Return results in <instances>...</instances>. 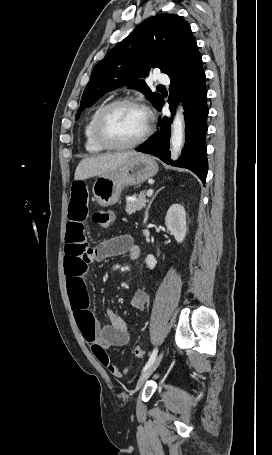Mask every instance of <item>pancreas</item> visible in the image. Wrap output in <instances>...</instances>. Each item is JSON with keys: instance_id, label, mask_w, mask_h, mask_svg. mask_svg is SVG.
Returning a JSON list of instances; mask_svg holds the SVG:
<instances>
[{"instance_id": "cf45deb5", "label": "pancreas", "mask_w": 272, "mask_h": 455, "mask_svg": "<svg viewBox=\"0 0 272 455\" xmlns=\"http://www.w3.org/2000/svg\"><path fill=\"white\" fill-rule=\"evenodd\" d=\"M133 198H135V200L127 201L126 204L125 210L128 214H133L141 210L143 207H145L146 202H148L146 199V191H142L140 194L134 195Z\"/></svg>"}]
</instances>
